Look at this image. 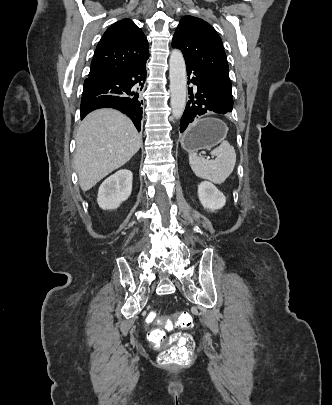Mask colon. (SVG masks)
<instances>
[{
	"label": "colon",
	"instance_id": "5ec220e1",
	"mask_svg": "<svg viewBox=\"0 0 332 405\" xmlns=\"http://www.w3.org/2000/svg\"><path fill=\"white\" fill-rule=\"evenodd\" d=\"M149 322L155 326H160L161 328L171 329L173 324L179 325L182 328H191L193 326V318L187 312H177L173 315L172 319H161L159 322L156 321L155 316L149 317ZM161 328L155 329L150 334V339L156 343L160 344L165 341L166 334ZM174 345L165 350L160 356V362L169 363H187L189 362L194 354L195 343L191 335L187 333H174L171 336Z\"/></svg>",
	"mask_w": 332,
	"mask_h": 405
}]
</instances>
